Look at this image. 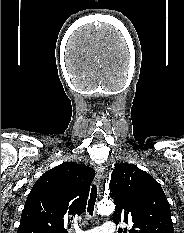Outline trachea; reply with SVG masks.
I'll use <instances>...</instances> for the list:
<instances>
[{"instance_id":"obj_1","label":"trachea","mask_w":184,"mask_h":233,"mask_svg":"<svg viewBox=\"0 0 184 233\" xmlns=\"http://www.w3.org/2000/svg\"><path fill=\"white\" fill-rule=\"evenodd\" d=\"M96 199H97V186L94 184L92 186L90 198L88 201L87 212L89 213V215H93L94 205H95Z\"/></svg>"}]
</instances>
